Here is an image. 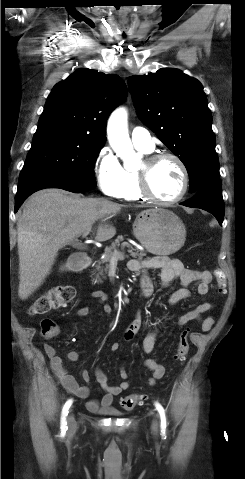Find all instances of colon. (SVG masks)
Returning a JSON list of instances; mask_svg holds the SVG:
<instances>
[{
    "instance_id": "1",
    "label": "colon",
    "mask_w": 245,
    "mask_h": 479,
    "mask_svg": "<svg viewBox=\"0 0 245 479\" xmlns=\"http://www.w3.org/2000/svg\"><path fill=\"white\" fill-rule=\"evenodd\" d=\"M218 276V290L223 292V279L219 271L216 272ZM75 297V289L69 285L55 286L48 289L44 294L38 297L29 307L28 313L30 315H43L52 310H57L67 306ZM59 331L58 324L50 318H45L41 321V333L43 337L51 338L57 335ZM190 329H184L180 336L175 358L183 362L190 349L189 342ZM147 399L145 394H132L124 397L121 400V407L124 410H132L137 405Z\"/></svg>"
}]
</instances>
